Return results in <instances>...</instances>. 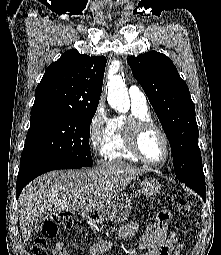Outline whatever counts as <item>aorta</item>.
<instances>
[{"instance_id": "aorta-1", "label": "aorta", "mask_w": 221, "mask_h": 255, "mask_svg": "<svg viewBox=\"0 0 221 255\" xmlns=\"http://www.w3.org/2000/svg\"><path fill=\"white\" fill-rule=\"evenodd\" d=\"M108 103L118 112H126L130 107V100L125 82L120 75H112L108 81Z\"/></svg>"}]
</instances>
